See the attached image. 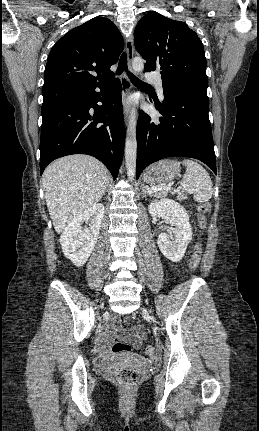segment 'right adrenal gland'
<instances>
[{"instance_id":"1","label":"right adrenal gland","mask_w":259,"mask_h":431,"mask_svg":"<svg viewBox=\"0 0 259 431\" xmlns=\"http://www.w3.org/2000/svg\"><path fill=\"white\" fill-rule=\"evenodd\" d=\"M108 191V184H107V186H106V189H105V192H104V194L103 195H105V193Z\"/></svg>"}]
</instances>
